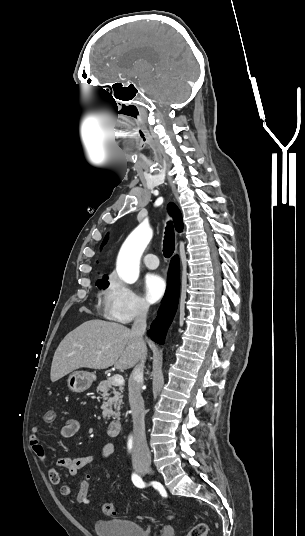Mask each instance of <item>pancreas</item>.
Returning <instances> with one entry per match:
<instances>
[{
	"label": "pancreas",
	"mask_w": 305,
	"mask_h": 536,
	"mask_svg": "<svg viewBox=\"0 0 305 536\" xmlns=\"http://www.w3.org/2000/svg\"><path fill=\"white\" fill-rule=\"evenodd\" d=\"M112 386H114V388H112ZM97 392H102L104 400L102 406L103 418H110V416H114L116 420H120V408L122 404H124L122 400V394L124 392L123 384H121V386H118L117 388L115 384H112V378H108V380H103V382H100V384H98Z\"/></svg>",
	"instance_id": "obj_1"
}]
</instances>
